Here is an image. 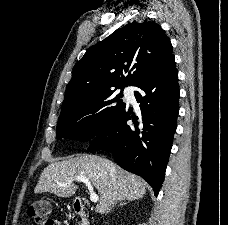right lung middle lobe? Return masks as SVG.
Segmentation results:
<instances>
[{
	"instance_id": "dd1d6c3e",
	"label": "right lung middle lobe",
	"mask_w": 228,
	"mask_h": 225,
	"mask_svg": "<svg viewBox=\"0 0 228 225\" xmlns=\"http://www.w3.org/2000/svg\"><path fill=\"white\" fill-rule=\"evenodd\" d=\"M118 88L62 106L56 128L57 137L85 142L107 128L126 107L121 100L123 88H120L119 94L114 93Z\"/></svg>"
}]
</instances>
